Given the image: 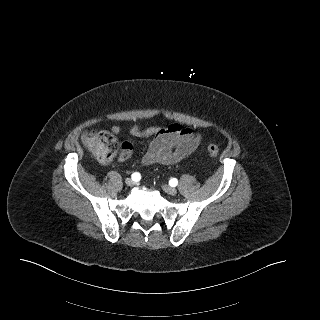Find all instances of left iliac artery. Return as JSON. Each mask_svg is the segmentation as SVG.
<instances>
[{"label": "left iliac artery", "mask_w": 320, "mask_h": 320, "mask_svg": "<svg viewBox=\"0 0 320 320\" xmlns=\"http://www.w3.org/2000/svg\"><path fill=\"white\" fill-rule=\"evenodd\" d=\"M169 184H170L172 187H174V186H176V185L178 184V180L175 179V178H172V179L169 181Z\"/></svg>", "instance_id": "left-iliac-artery-1"}]
</instances>
